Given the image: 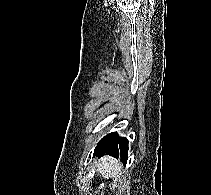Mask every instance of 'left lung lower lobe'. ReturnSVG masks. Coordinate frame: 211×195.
I'll return each mask as SVG.
<instances>
[{
    "label": "left lung lower lobe",
    "mask_w": 211,
    "mask_h": 195,
    "mask_svg": "<svg viewBox=\"0 0 211 195\" xmlns=\"http://www.w3.org/2000/svg\"><path fill=\"white\" fill-rule=\"evenodd\" d=\"M128 153V140L124 137H119L116 132H112L104 136L97 144L94 155L102 157L110 155L115 158H121L126 164Z\"/></svg>",
    "instance_id": "1"
}]
</instances>
